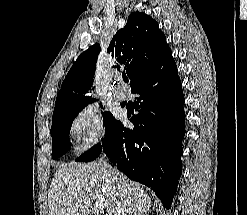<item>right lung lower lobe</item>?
I'll return each instance as SVG.
<instances>
[{
	"label": "right lung lower lobe",
	"instance_id": "obj_1",
	"mask_svg": "<svg viewBox=\"0 0 247 215\" xmlns=\"http://www.w3.org/2000/svg\"><path fill=\"white\" fill-rule=\"evenodd\" d=\"M140 110L127 129L114 119L102 144L76 161L90 162L103 151L130 179L151 188L167 209L181 176V140L185 135L184 95L176 63L168 50L159 63L131 87Z\"/></svg>",
	"mask_w": 247,
	"mask_h": 215
}]
</instances>
